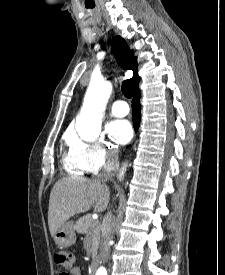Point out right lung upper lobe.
Masks as SVG:
<instances>
[{"label":"right lung upper lobe","instance_id":"1","mask_svg":"<svg viewBox=\"0 0 225 275\" xmlns=\"http://www.w3.org/2000/svg\"><path fill=\"white\" fill-rule=\"evenodd\" d=\"M113 53L123 69H131L134 73L130 79L133 90L138 87L139 76L137 73V61L133 56V51L129 49L126 41L120 36H116L112 41Z\"/></svg>","mask_w":225,"mask_h":275}]
</instances>
